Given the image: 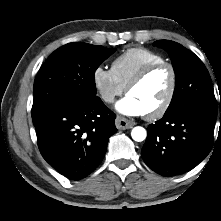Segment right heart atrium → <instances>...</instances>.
I'll use <instances>...</instances> for the list:
<instances>
[{"label":"right heart atrium","instance_id":"1","mask_svg":"<svg viewBox=\"0 0 221 221\" xmlns=\"http://www.w3.org/2000/svg\"><path fill=\"white\" fill-rule=\"evenodd\" d=\"M93 85L99 97L106 104H112L125 87L116 79L110 69L98 66L92 74Z\"/></svg>","mask_w":221,"mask_h":221}]
</instances>
